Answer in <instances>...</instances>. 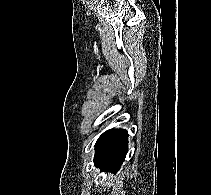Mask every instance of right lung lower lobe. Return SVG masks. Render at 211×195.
<instances>
[{
  "label": "right lung lower lobe",
  "mask_w": 211,
  "mask_h": 195,
  "mask_svg": "<svg viewBox=\"0 0 211 195\" xmlns=\"http://www.w3.org/2000/svg\"><path fill=\"white\" fill-rule=\"evenodd\" d=\"M94 164L99 168L118 171L128 151V133L126 130H108L97 143Z\"/></svg>",
  "instance_id": "obj_1"
}]
</instances>
